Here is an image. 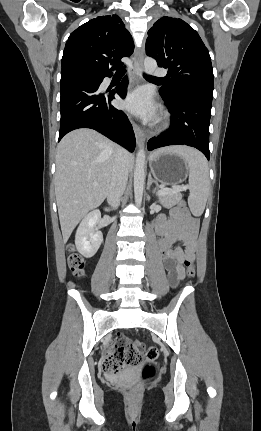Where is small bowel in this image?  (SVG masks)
Here are the masks:
<instances>
[{"label": "small bowel", "mask_w": 261, "mask_h": 431, "mask_svg": "<svg viewBox=\"0 0 261 431\" xmlns=\"http://www.w3.org/2000/svg\"><path fill=\"white\" fill-rule=\"evenodd\" d=\"M197 226L196 220L180 206L172 208L169 217L159 216L156 219L155 231L160 236L157 249L173 285L185 277V260L194 257ZM181 243L185 244V250L181 248ZM147 348L146 344L140 345L141 351Z\"/></svg>", "instance_id": "c3829d8e"}]
</instances>
